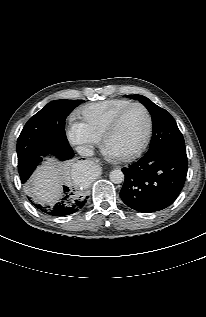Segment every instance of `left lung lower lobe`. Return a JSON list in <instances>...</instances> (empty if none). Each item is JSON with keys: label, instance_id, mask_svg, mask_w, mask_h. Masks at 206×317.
<instances>
[{"label": "left lung lower lobe", "instance_id": "left-lung-lower-lobe-1", "mask_svg": "<svg viewBox=\"0 0 206 317\" xmlns=\"http://www.w3.org/2000/svg\"><path fill=\"white\" fill-rule=\"evenodd\" d=\"M186 152L164 149L146 153L123 168L122 201L140 212L165 209L178 197L187 175Z\"/></svg>", "mask_w": 206, "mask_h": 317}]
</instances>
